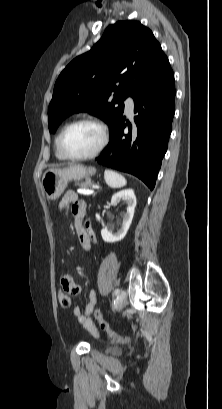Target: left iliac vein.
Wrapping results in <instances>:
<instances>
[{"label":"left iliac vein","mask_w":222,"mask_h":409,"mask_svg":"<svg viewBox=\"0 0 222 409\" xmlns=\"http://www.w3.org/2000/svg\"><path fill=\"white\" fill-rule=\"evenodd\" d=\"M127 304V294L125 291L120 292L119 300H118V309H123Z\"/></svg>","instance_id":"obj_1"}]
</instances>
